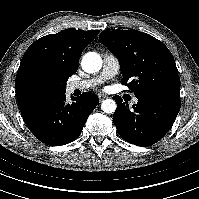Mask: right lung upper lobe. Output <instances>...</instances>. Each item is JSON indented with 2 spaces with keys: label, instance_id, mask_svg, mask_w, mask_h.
I'll use <instances>...</instances> for the list:
<instances>
[{
  "label": "right lung upper lobe",
  "instance_id": "cb5924a9",
  "mask_svg": "<svg viewBox=\"0 0 199 199\" xmlns=\"http://www.w3.org/2000/svg\"><path fill=\"white\" fill-rule=\"evenodd\" d=\"M99 30L69 29L36 40L22 57L15 80L19 105L34 101L29 88L44 83L50 96L64 93L68 78L77 71L80 54L98 35Z\"/></svg>",
  "mask_w": 199,
  "mask_h": 199
}]
</instances>
